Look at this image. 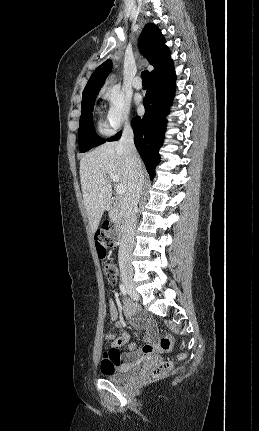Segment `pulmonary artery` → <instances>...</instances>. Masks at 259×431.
I'll use <instances>...</instances> for the list:
<instances>
[{
	"label": "pulmonary artery",
	"instance_id": "pulmonary-artery-1",
	"mask_svg": "<svg viewBox=\"0 0 259 431\" xmlns=\"http://www.w3.org/2000/svg\"><path fill=\"white\" fill-rule=\"evenodd\" d=\"M142 86H143V84H142L141 78H140V77H136V78L133 80V87H134L135 89L139 90V89H141V88H142Z\"/></svg>",
	"mask_w": 259,
	"mask_h": 431
}]
</instances>
